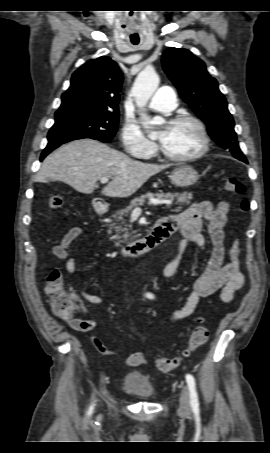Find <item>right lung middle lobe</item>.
<instances>
[{"mask_svg": "<svg viewBox=\"0 0 270 453\" xmlns=\"http://www.w3.org/2000/svg\"><path fill=\"white\" fill-rule=\"evenodd\" d=\"M119 113L78 112L56 117L48 133V141L69 142L92 138L109 142L116 133Z\"/></svg>", "mask_w": 270, "mask_h": 453, "instance_id": "obj_1", "label": "right lung middle lobe"}]
</instances>
